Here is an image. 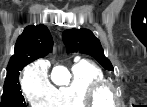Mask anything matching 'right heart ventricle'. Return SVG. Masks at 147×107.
<instances>
[{"label": "right heart ventricle", "mask_w": 147, "mask_h": 107, "mask_svg": "<svg viewBox=\"0 0 147 107\" xmlns=\"http://www.w3.org/2000/svg\"><path fill=\"white\" fill-rule=\"evenodd\" d=\"M105 79L102 70L95 64L78 60L72 67V77L68 84L54 90L48 105L50 107H88L86 93L95 82Z\"/></svg>", "instance_id": "1"}]
</instances>
